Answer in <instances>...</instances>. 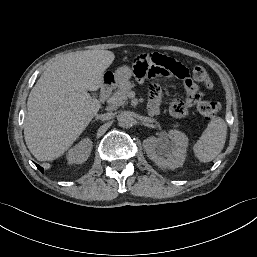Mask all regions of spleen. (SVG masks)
Listing matches in <instances>:
<instances>
[{
  "mask_svg": "<svg viewBox=\"0 0 257 257\" xmlns=\"http://www.w3.org/2000/svg\"><path fill=\"white\" fill-rule=\"evenodd\" d=\"M227 134L225 121L220 117L213 118L195 143L193 150L200 162L212 161L223 149Z\"/></svg>",
  "mask_w": 257,
  "mask_h": 257,
  "instance_id": "obj_1",
  "label": "spleen"
}]
</instances>
